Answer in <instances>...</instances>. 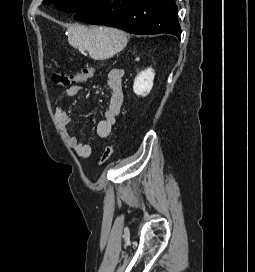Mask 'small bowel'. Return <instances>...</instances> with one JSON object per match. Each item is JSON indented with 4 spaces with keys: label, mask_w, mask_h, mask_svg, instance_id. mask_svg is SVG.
<instances>
[{
    "label": "small bowel",
    "mask_w": 255,
    "mask_h": 272,
    "mask_svg": "<svg viewBox=\"0 0 255 272\" xmlns=\"http://www.w3.org/2000/svg\"><path fill=\"white\" fill-rule=\"evenodd\" d=\"M123 76L124 70L120 67L112 68L106 75V81L110 91V99L107 103L103 118L97 123L96 126V133L101 138H106L110 135L123 105ZM81 88L82 87L79 84H73L64 91V94L56 107L54 116L56 123L62 130L69 146L73 149L78 157L86 159L91 154V147L89 144L79 141L76 136L69 132L68 126L71 119L68 112L63 108V103L65 100L67 98L76 96L81 91Z\"/></svg>",
    "instance_id": "small-bowel-1"
}]
</instances>
